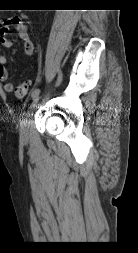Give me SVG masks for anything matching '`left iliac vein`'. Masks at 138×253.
I'll return each mask as SVG.
<instances>
[{
	"label": "left iliac vein",
	"mask_w": 138,
	"mask_h": 253,
	"mask_svg": "<svg viewBox=\"0 0 138 253\" xmlns=\"http://www.w3.org/2000/svg\"><path fill=\"white\" fill-rule=\"evenodd\" d=\"M40 97H36L33 102L31 103V106L29 108V112L26 116V119L23 121V123L20 126V140L22 142H27L29 139V128L31 124L30 117L32 116L33 112L36 110V108L39 105Z\"/></svg>",
	"instance_id": "left-iliac-vein-1"
}]
</instances>
